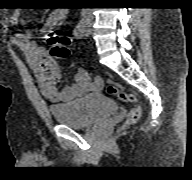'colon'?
I'll return each mask as SVG.
<instances>
[{
    "label": "colon",
    "instance_id": "5ec220e1",
    "mask_svg": "<svg viewBox=\"0 0 192 180\" xmlns=\"http://www.w3.org/2000/svg\"><path fill=\"white\" fill-rule=\"evenodd\" d=\"M47 40L51 46L50 55L56 59H65L69 56L70 51L68 46L71 43V39L63 34H60L56 31H51ZM108 92L112 95H116L120 99L132 103V107L127 116V124L136 122L141 114V109L136 103V98L134 95L124 91L119 86L111 84L108 87Z\"/></svg>",
    "mask_w": 192,
    "mask_h": 180
}]
</instances>
